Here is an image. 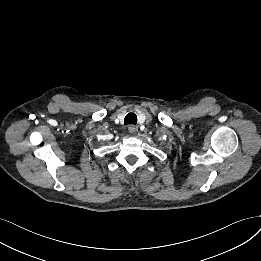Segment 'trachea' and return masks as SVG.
<instances>
[{
    "label": "trachea",
    "mask_w": 261,
    "mask_h": 261,
    "mask_svg": "<svg viewBox=\"0 0 261 261\" xmlns=\"http://www.w3.org/2000/svg\"><path fill=\"white\" fill-rule=\"evenodd\" d=\"M124 123L127 124H136L137 123V116L134 113H129L126 115L124 119Z\"/></svg>",
    "instance_id": "1"
}]
</instances>
